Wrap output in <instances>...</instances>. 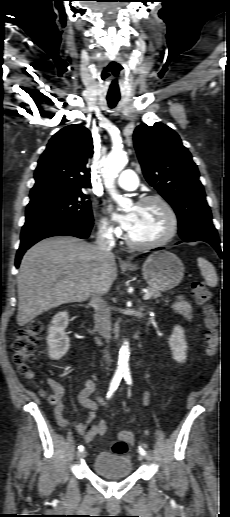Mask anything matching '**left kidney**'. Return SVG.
Returning <instances> with one entry per match:
<instances>
[{
    "label": "left kidney",
    "mask_w": 230,
    "mask_h": 517,
    "mask_svg": "<svg viewBox=\"0 0 230 517\" xmlns=\"http://www.w3.org/2000/svg\"><path fill=\"white\" fill-rule=\"evenodd\" d=\"M184 329L180 326H175L172 335L168 339L169 347L172 351V356L178 363H183L186 360L187 343L185 341Z\"/></svg>",
    "instance_id": "1"
}]
</instances>
